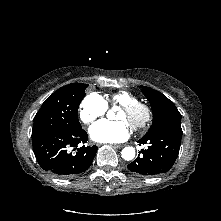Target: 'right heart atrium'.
Instances as JSON below:
<instances>
[{
  "instance_id": "obj_1",
  "label": "right heart atrium",
  "mask_w": 221,
  "mask_h": 221,
  "mask_svg": "<svg viewBox=\"0 0 221 221\" xmlns=\"http://www.w3.org/2000/svg\"><path fill=\"white\" fill-rule=\"evenodd\" d=\"M108 110L106 101L97 93L87 94L79 105V118L85 124H91Z\"/></svg>"
}]
</instances>
